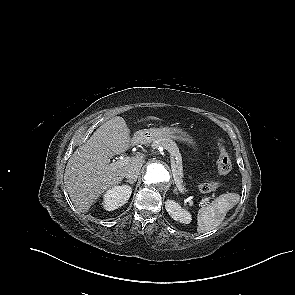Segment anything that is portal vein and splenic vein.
Returning <instances> with one entry per match:
<instances>
[{
  "instance_id": "obj_1",
  "label": "portal vein and splenic vein",
  "mask_w": 295,
  "mask_h": 295,
  "mask_svg": "<svg viewBox=\"0 0 295 295\" xmlns=\"http://www.w3.org/2000/svg\"><path fill=\"white\" fill-rule=\"evenodd\" d=\"M172 155V154H171ZM131 160L130 157H122L120 158L118 161L115 162V164L117 166H123L125 164H127L129 161ZM171 162H172V171H174V166H175V162L173 161V157L171 156ZM174 176V174H173ZM174 181H175V184L178 188V190L181 192V193H184L183 190H182V187L180 185V182L174 177ZM210 202V198L209 197H203L202 198V204H208Z\"/></svg>"
}]
</instances>
